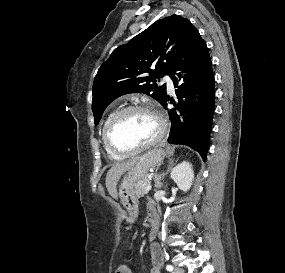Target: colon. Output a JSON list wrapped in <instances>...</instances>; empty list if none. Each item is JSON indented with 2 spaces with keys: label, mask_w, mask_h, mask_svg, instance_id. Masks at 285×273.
<instances>
[{
  "label": "colon",
  "mask_w": 285,
  "mask_h": 273,
  "mask_svg": "<svg viewBox=\"0 0 285 273\" xmlns=\"http://www.w3.org/2000/svg\"><path fill=\"white\" fill-rule=\"evenodd\" d=\"M126 272L127 270L122 266L118 267V269L116 270V273H126Z\"/></svg>",
  "instance_id": "1"
}]
</instances>
